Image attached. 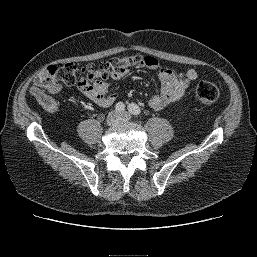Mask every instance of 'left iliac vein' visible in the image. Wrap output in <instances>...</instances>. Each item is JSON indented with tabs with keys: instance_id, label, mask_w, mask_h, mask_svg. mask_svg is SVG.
<instances>
[{
	"instance_id": "1",
	"label": "left iliac vein",
	"mask_w": 257,
	"mask_h": 257,
	"mask_svg": "<svg viewBox=\"0 0 257 257\" xmlns=\"http://www.w3.org/2000/svg\"><path fill=\"white\" fill-rule=\"evenodd\" d=\"M131 119V116L128 112H122L120 115V120L123 122L129 121Z\"/></svg>"
}]
</instances>
